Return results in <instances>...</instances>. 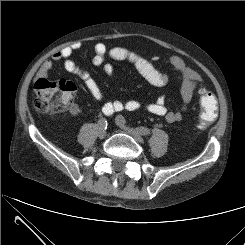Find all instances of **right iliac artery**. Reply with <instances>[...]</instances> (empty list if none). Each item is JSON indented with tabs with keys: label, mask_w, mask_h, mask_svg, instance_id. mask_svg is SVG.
<instances>
[{
	"label": "right iliac artery",
	"mask_w": 245,
	"mask_h": 245,
	"mask_svg": "<svg viewBox=\"0 0 245 245\" xmlns=\"http://www.w3.org/2000/svg\"><path fill=\"white\" fill-rule=\"evenodd\" d=\"M103 111V110H102ZM103 113L105 114V115H108V113H106L105 111H103ZM99 125H101V126H103L105 129L107 128V121H106V119L105 118H101L100 120H99Z\"/></svg>",
	"instance_id": "obj_1"
}]
</instances>
